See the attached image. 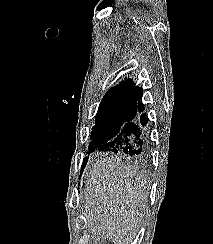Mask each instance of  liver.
I'll use <instances>...</instances> for the list:
<instances>
[{"mask_svg": "<svg viewBox=\"0 0 213 244\" xmlns=\"http://www.w3.org/2000/svg\"><path fill=\"white\" fill-rule=\"evenodd\" d=\"M148 176L126 157L103 155L95 160L85 182L87 224L115 244H128L148 209Z\"/></svg>", "mask_w": 213, "mask_h": 244, "instance_id": "obj_1", "label": "liver"}]
</instances>
